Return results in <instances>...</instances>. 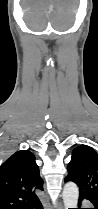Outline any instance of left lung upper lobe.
I'll list each match as a JSON object with an SVG mask.
<instances>
[{
	"label": "left lung upper lobe",
	"mask_w": 98,
	"mask_h": 209,
	"mask_svg": "<svg viewBox=\"0 0 98 209\" xmlns=\"http://www.w3.org/2000/svg\"><path fill=\"white\" fill-rule=\"evenodd\" d=\"M65 182L72 181L79 187V196L98 206V154L86 145L76 147L67 166Z\"/></svg>",
	"instance_id": "left-lung-upper-lobe-1"
}]
</instances>
